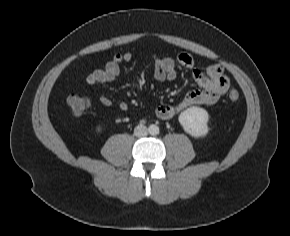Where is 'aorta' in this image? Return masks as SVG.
Returning a JSON list of instances; mask_svg holds the SVG:
<instances>
[{
  "label": "aorta",
  "mask_w": 290,
  "mask_h": 236,
  "mask_svg": "<svg viewBox=\"0 0 290 236\" xmlns=\"http://www.w3.org/2000/svg\"><path fill=\"white\" fill-rule=\"evenodd\" d=\"M149 132L152 135H156V134L159 133V127L156 126V125H151L150 128H149Z\"/></svg>",
  "instance_id": "762f6f07"
}]
</instances>
